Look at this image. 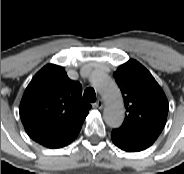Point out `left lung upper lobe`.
Instances as JSON below:
<instances>
[{
	"mask_svg": "<svg viewBox=\"0 0 184 174\" xmlns=\"http://www.w3.org/2000/svg\"><path fill=\"white\" fill-rule=\"evenodd\" d=\"M124 99L125 120L121 127L157 138L163 130L168 101L150 72L130 59L113 74Z\"/></svg>",
	"mask_w": 184,
	"mask_h": 174,
	"instance_id": "left-lung-upper-lobe-1",
	"label": "left lung upper lobe"
}]
</instances>
